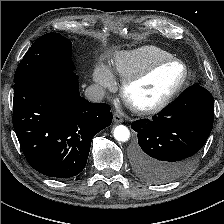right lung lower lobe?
<instances>
[{"label":"right lung lower lobe","mask_w":224,"mask_h":224,"mask_svg":"<svg viewBox=\"0 0 224 224\" xmlns=\"http://www.w3.org/2000/svg\"><path fill=\"white\" fill-rule=\"evenodd\" d=\"M78 85L73 71L45 70L14 89L12 119L21 149L46 176L78 175L93 137L112 122L109 105L87 101Z\"/></svg>","instance_id":"obj_1"}]
</instances>
